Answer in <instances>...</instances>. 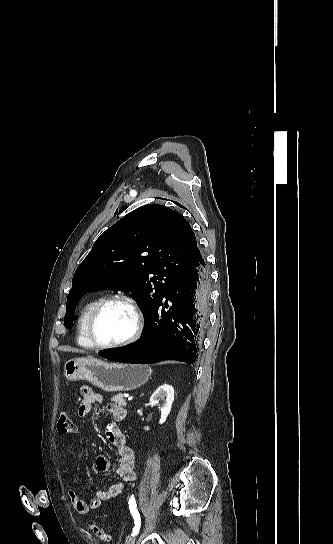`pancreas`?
<instances>
[{
    "mask_svg": "<svg viewBox=\"0 0 333 544\" xmlns=\"http://www.w3.org/2000/svg\"><path fill=\"white\" fill-rule=\"evenodd\" d=\"M111 401H112V402H115V403H117L118 405H121V406H126V405H127L126 400L123 398V394H122V393H119V394L114 395V396L111 398Z\"/></svg>",
    "mask_w": 333,
    "mask_h": 544,
    "instance_id": "pancreas-1",
    "label": "pancreas"
}]
</instances>
